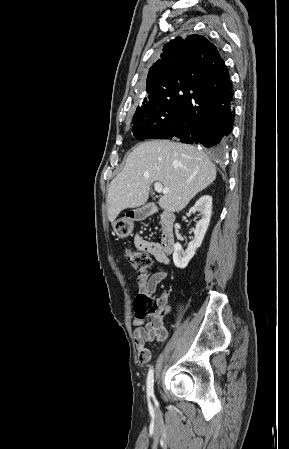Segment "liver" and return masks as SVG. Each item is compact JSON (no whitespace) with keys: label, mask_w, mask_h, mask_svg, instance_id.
<instances>
[{"label":"liver","mask_w":289,"mask_h":449,"mask_svg":"<svg viewBox=\"0 0 289 449\" xmlns=\"http://www.w3.org/2000/svg\"><path fill=\"white\" fill-rule=\"evenodd\" d=\"M215 179L216 167L197 147L169 140L144 142L128 155L124 169L110 183L108 219L113 225L122 210L144 205L154 182L169 189L159 206L179 212Z\"/></svg>","instance_id":"obj_1"}]
</instances>
